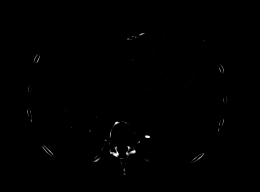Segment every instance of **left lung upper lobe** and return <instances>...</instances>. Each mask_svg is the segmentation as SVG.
<instances>
[{
    "label": "left lung upper lobe",
    "instance_id": "left-lung-upper-lobe-1",
    "mask_svg": "<svg viewBox=\"0 0 260 192\" xmlns=\"http://www.w3.org/2000/svg\"><path fill=\"white\" fill-rule=\"evenodd\" d=\"M195 45H196L197 49L199 50V52H201L204 55L205 62L209 69V79L207 82V87L205 89L204 95L199 100L207 98V97L219 98L220 80H219L216 63L208 51H206L205 49L200 47L198 44H195Z\"/></svg>",
    "mask_w": 260,
    "mask_h": 192
}]
</instances>
